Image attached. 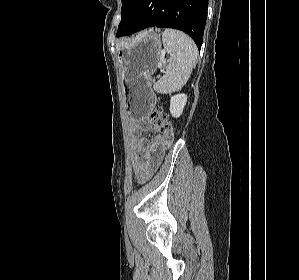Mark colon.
Masks as SVG:
<instances>
[{
	"label": "colon",
	"instance_id": "obj_1",
	"mask_svg": "<svg viewBox=\"0 0 299 280\" xmlns=\"http://www.w3.org/2000/svg\"><path fill=\"white\" fill-rule=\"evenodd\" d=\"M149 121L157 126L166 136L167 146H170L174 139V131L167 115L162 107H155L149 114Z\"/></svg>",
	"mask_w": 299,
	"mask_h": 280
}]
</instances>
